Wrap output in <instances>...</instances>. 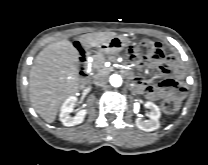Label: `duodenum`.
Segmentation results:
<instances>
[{"label":"duodenum","mask_w":208,"mask_h":165,"mask_svg":"<svg viewBox=\"0 0 208 165\" xmlns=\"http://www.w3.org/2000/svg\"><path fill=\"white\" fill-rule=\"evenodd\" d=\"M89 62V53L88 51L83 52L79 55L78 61H77V70L78 74L81 78H86L87 77V72H86V66ZM121 71L128 77H131V73L128 70L121 69Z\"/></svg>","instance_id":"410a0bca"}]
</instances>
